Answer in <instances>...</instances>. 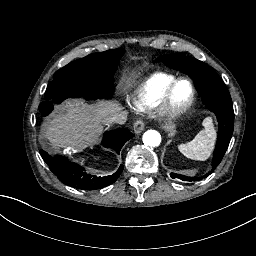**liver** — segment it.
<instances>
[{
    "mask_svg": "<svg viewBox=\"0 0 256 256\" xmlns=\"http://www.w3.org/2000/svg\"><path fill=\"white\" fill-rule=\"evenodd\" d=\"M121 80L130 86V77L123 76ZM121 110L116 101L99 100L93 105L79 100L66 101L56 106L47 119L44 137L55 146L84 149L99 141L106 119Z\"/></svg>",
    "mask_w": 256,
    "mask_h": 256,
    "instance_id": "obj_1",
    "label": "liver"
}]
</instances>
